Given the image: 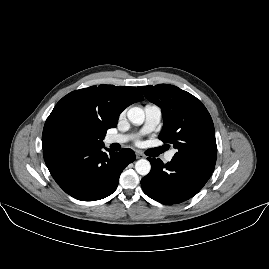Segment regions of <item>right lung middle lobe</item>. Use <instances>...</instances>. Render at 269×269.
I'll use <instances>...</instances> for the list:
<instances>
[{
    "label": "right lung middle lobe",
    "mask_w": 269,
    "mask_h": 269,
    "mask_svg": "<svg viewBox=\"0 0 269 269\" xmlns=\"http://www.w3.org/2000/svg\"><path fill=\"white\" fill-rule=\"evenodd\" d=\"M105 135L99 133H92L91 131H82L76 133L72 138L71 142H76L80 144H103L102 140Z\"/></svg>",
    "instance_id": "1"
}]
</instances>
